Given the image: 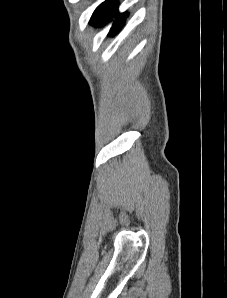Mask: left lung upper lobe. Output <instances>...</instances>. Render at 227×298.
Wrapping results in <instances>:
<instances>
[{"label": "left lung upper lobe", "instance_id": "obj_1", "mask_svg": "<svg viewBox=\"0 0 227 298\" xmlns=\"http://www.w3.org/2000/svg\"><path fill=\"white\" fill-rule=\"evenodd\" d=\"M107 1L106 0L105 2H103L102 4H100L96 10L94 11L91 19H90V23L92 25H97V23L99 22L101 16L103 15L105 9H106V6H107Z\"/></svg>", "mask_w": 227, "mask_h": 298}]
</instances>
